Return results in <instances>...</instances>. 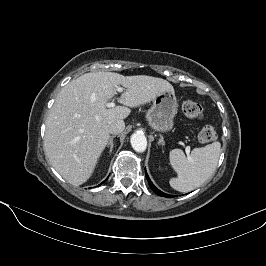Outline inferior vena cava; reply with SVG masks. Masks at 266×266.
<instances>
[{"label": "inferior vena cava", "instance_id": "602c4592", "mask_svg": "<svg viewBox=\"0 0 266 266\" xmlns=\"http://www.w3.org/2000/svg\"><path fill=\"white\" fill-rule=\"evenodd\" d=\"M124 129H125V123L121 119L113 120L108 125V131L110 134L114 135L120 134L124 131Z\"/></svg>", "mask_w": 266, "mask_h": 266}]
</instances>
